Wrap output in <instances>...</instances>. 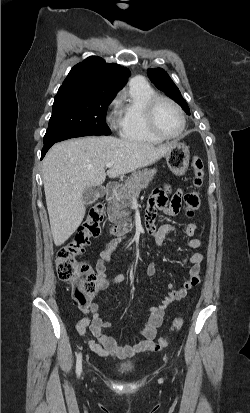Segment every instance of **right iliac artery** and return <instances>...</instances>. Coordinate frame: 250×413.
<instances>
[{"label": "right iliac artery", "mask_w": 250, "mask_h": 413, "mask_svg": "<svg viewBox=\"0 0 250 413\" xmlns=\"http://www.w3.org/2000/svg\"><path fill=\"white\" fill-rule=\"evenodd\" d=\"M81 371H82V355H81V353H79L77 355V360H76V373H77V376H80Z\"/></svg>", "instance_id": "82829eb1"}]
</instances>
